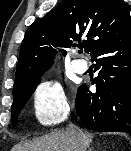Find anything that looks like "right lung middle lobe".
Returning <instances> with one entry per match:
<instances>
[{"mask_svg": "<svg viewBox=\"0 0 131 151\" xmlns=\"http://www.w3.org/2000/svg\"><path fill=\"white\" fill-rule=\"evenodd\" d=\"M42 74H39L25 86L13 90V104L11 107L12 124H16L18 115L34 92Z\"/></svg>", "mask_w": 131, "mask_h": 151, "instance_id": "1", "label": "right lung middle lobe"}]
</instances>
